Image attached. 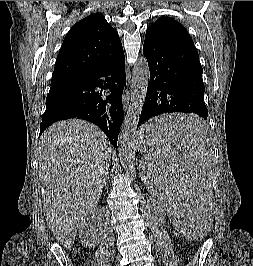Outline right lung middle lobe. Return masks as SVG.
Here are the masks:
<instances>
[{
    "mask_svg": "<svg viewBox=\"0 0 253 266\" xmlns=\"http://www.w3.org/2000/svg\"><path fill=\"white\" fill-rule=\"evenodd\" d=\"M66 84L52 85L50 87V91L46 98V107L51 105L53 98L65 87Z\"/></svg>",
    "mask_w": 253,
    "mask_h": 266,
    "instance_id": "right-lung-middle-lobe-1",
    "label": "right lung middle lobe"
}]
</instances>
